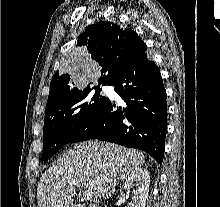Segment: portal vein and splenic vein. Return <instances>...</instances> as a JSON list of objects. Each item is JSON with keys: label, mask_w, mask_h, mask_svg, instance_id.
I'll use <instances>...</instances> for the list:
<instances>
[{"label": "portal vein and splenic vein", "mask_w": 220, "mask_h": 207, "mask_svg": "<svg viewBox=\"0 0 220 207\" xmlns=\"http://www.w3.org/2000/svg\"><path fill=\"white\" fill-rule=\"evenodd\" d=\"M68 184L75 185V186H77L79 188L81 187V184H80V182L78 180H69ZM83 198L85 200H90L92 198V193L87 191V190L83 191Z\"/></svg>", "instance_id": "portal-vein-and-splenic-vein-1"}]
</instances>
